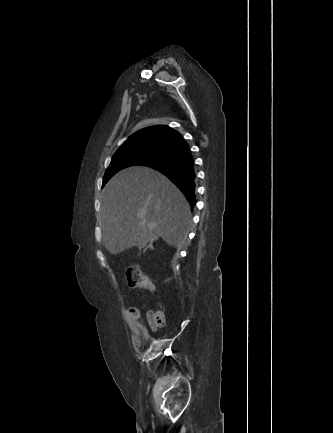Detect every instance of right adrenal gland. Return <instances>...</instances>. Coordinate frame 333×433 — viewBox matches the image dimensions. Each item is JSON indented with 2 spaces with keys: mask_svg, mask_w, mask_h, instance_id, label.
Returning <instances> with one entry per match:
<instances>
[{
  "mask_svg": "<svg viewBox=\"0 0 333 433\" xmlns=\"http://www.w3.org/2000/svg\"><path fill=\"white\" fill-rule=\"evenodd\" d=\"M148 248H153V244L152 243H150L146 248H145V250L144 251H146Z\"/></svg>",
  "mask_w": 333,
  "mask_h": 433,
  "instance_id": "right-adrenal-gland-1",
  "label": "right adrenal gland"
}]
</instances>
